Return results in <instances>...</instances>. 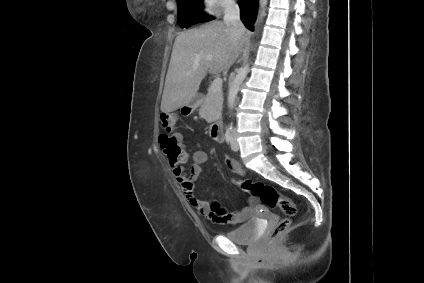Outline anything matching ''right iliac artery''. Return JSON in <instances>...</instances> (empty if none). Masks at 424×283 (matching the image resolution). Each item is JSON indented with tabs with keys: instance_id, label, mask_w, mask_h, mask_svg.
<instances>
[{
	"instance_id": "right-iliac-artery-1",
	"label": "right iliac artery",
	"mask_w": 424,
	"mask_h": 283,
	"mask_svg": "<svg viewBox=\"0 0 424 283\" xmlns=\"http://www.w3.org/2000/svg\"><path fill=\"white\" fill-rule=\"evenodd\" d=\"M225 139L227 143H230L232 140V127H229L225 133Z\"/></svg>"
}]
</instances>
